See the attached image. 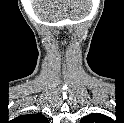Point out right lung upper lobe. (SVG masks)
Here are the masks:
<instances>
[{"label":"right lung upper lobe","instance_id":"cb5924a9","mask_svg":"<svg viewBox=\"0 0 124 123\" xmlns=\"http://www.w3.org/2000/svg\"><path fill=\"white\" fill-rule=\"evenodd\" d=\"M17 119H19L20 121L25 122V123H45V122H47V119L39 113L21 115Z\"/></svg>","mask_w":124,"mask_h":123}]
</instances>
